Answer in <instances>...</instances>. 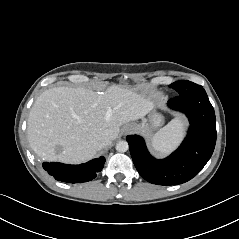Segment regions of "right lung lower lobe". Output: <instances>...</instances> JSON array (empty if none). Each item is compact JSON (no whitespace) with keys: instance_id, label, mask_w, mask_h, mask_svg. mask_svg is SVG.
Segmentation results:
<instances>
[{"instance_id":"obj_1","label":"right lung lower lobe","mask_w":239,"mask_h":239,"mask_svg":"<svg viewBox=\"0 0 239 239\" xmlns=\"http://www.w3.org/2000/svg\"><path fill=\"white\" fill-rule=\"evenodd\" d=\"M105 158L100 157L80 165L63 163H43V168L56 180L82 183L94 179L104 166Z\"/></svg>"}]
</instances>
